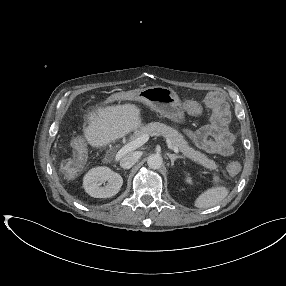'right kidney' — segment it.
<instances>
[{"label":"right kidney","mask_w":286,"mask_h":286,"mask_svg":"<svg viewBox=\"0 0 286 286\" xmlns=\"http://www.w3.org/2000/svg\"><path fill=\"white\" fill-rule=\"evenodd\" d=\"M122 184V177L108 167L92 168L83 179L85 191L94 198L112 197L119 192Z\"/></svg>","instance_id":"ca27d5eb"}]
</instances>
